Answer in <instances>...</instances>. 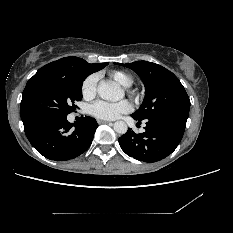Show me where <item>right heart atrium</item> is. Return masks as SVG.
<instances>
[{"instance_id": "right-heart-atrium-1", "label": "right heart atrium", "mask_w": 233, "mask_h": 233, "mask_svg": "<svg viewBox=\"0 0 233 233\" xmlns=\"http://www.w3.org/2000/svg\"><path fill=\"white\" fill-rule=\"evenodd\" d=\"M98 77L96 75L88 76L82 84L81 92L85 99H92L97 93Z\"/></svg>"}]
</instances>
